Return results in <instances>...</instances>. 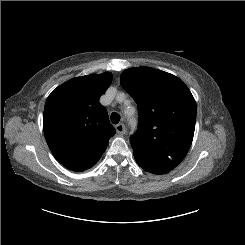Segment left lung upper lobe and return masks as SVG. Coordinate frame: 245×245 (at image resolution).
<instances>
[{
    "mask_svg": "<svg viewBox=\"0 0 245 245\" xmlns=\"http://www.w3.org/2000/svg\"><path fill=\"white\" fill-rule=\"evenodd\" d=\"M122 87L136 101L139 129L130 143L137 164L145 171L172 170L191 146L196 103L178 77L150 67L121 74Z\"/></svg>",
    "mask_w": 245,
    "mask_h": 245,
    "instance_id": "left-lung-upper-lobe-1",
    "label": "left lung upper lobe"
}]
</instances>
